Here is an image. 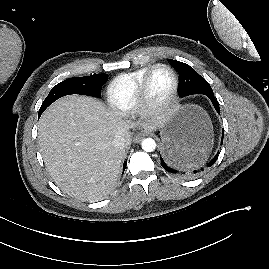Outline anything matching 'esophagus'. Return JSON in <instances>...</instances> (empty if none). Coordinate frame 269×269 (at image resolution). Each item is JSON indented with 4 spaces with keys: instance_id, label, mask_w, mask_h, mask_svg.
<instances>
[{
    "instance_id": "34e87169",
    "label": "esophagus",
    "mask_w": 269,
    "mask_h": 269,
    "mask_svg": "<svg viewBox=\"0 0 269 269\" xmlns=\"http://www.w3.org/2000/svg\"><path fill=\"white\" fill-rule=\"evenodd\" d=\"M145 137V134L144 133H136L134 138H133V141L134 143H139L140 141H142Z\"/></svg>"
}]
</instances>
